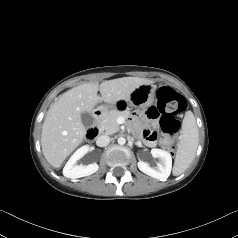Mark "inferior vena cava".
Segmentation results:
<instances>
[{
    "label": "inferior vena cava",
    "mask_w": 238,
    "mask_h": 238,
    "mask_svg": "<svg viewBox=\"0 0 238 238\" xmlns=\"http://www.w3.org/2000/svg\"><path fill=\"white\" fill-rule=\"evenodd\" d=\"M110 143V137L108 135L98 136L96 139V144L99 147H105Z\"/></svg>",
    "instance_id": "1"
}]
</instances>
